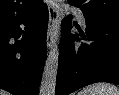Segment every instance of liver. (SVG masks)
Wrapping results in <instances>:
<instances>
[{
	"label": "liver",
	"mask_w": 119,
	"mask_h": 95,
	"mask_svg": "<svg viewBox=\"0 0 119 95\" xmlns=\"http://www.w3.org/2000/svg\"><path fill=\"white\" fill-rule=\"evenodd\" d=\"M0 95H9V93L4 90H0Z\"/></svg>",
	"instance_id": "6515ba94"
}]
</instances>
